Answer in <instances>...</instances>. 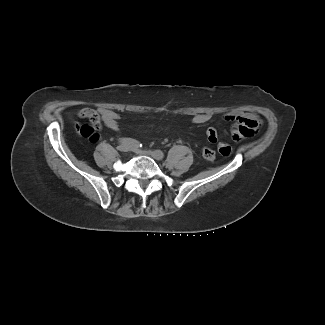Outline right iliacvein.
<instances>
[{
    "label": "right iliac vein",
    "instance_id": "right-iliac-vein-1",
    "mask_svg": "<svg viewBox=\"0 0 325 325\" xmlns=\"http://www.w3.org/2000/svg\"><path fill=\"white\" fill-rule=\"evenodd\" d=\"M117 149H118L119 151H121V152H128V151H130L129 146H126V145H119V146L117 147Z\"/></svg>",
    "mask_w": 325,
    "mask_h": 325
}]
</instances>
